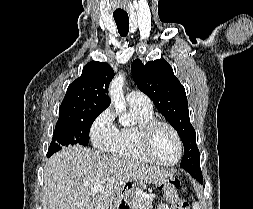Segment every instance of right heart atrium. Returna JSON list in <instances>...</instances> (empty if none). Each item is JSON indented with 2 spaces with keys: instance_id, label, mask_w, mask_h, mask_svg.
<instances>
[{
  "instance_id": "1",
  "label": "right heart atrium",
  "mask_w": 253,
  "mask_h": 209,
  "mask_svg": "<svg viewBox=\"0 0 253 209\" xmlns=\"http://www.w3.org/2000/svg\"><path fill=\"white\" fill-rule=\"evenodd\" d=\"M90 139L93 146L101 151H112L119 138V129L111 111L101 112L92 122Z\"/></svg>"
}]
</instances>
